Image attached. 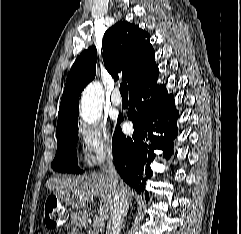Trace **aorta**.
Listing matches in <instances>:
<instances>
[{
    "label": "aorta",
    "mask_w": 241,
    "mask_h": 234,
    "mask_svg": "<svg viewBox=\"0 0 241 234\" xmlns=\"http://www.w3.org/2000/svg\"><path fill=\"white\" fill-rule=\"evenodd\" d=\"M104 92L102 85L94 81L90 83L82 93L80 116L89 123L97 122L102 114Z\"/></svg>",
    "instance_id": "obj_1"
}]
</instances>
